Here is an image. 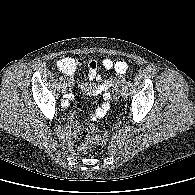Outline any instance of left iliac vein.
<instances>
[{"mask_svg": "<svg viewBox=\"0 0 195 195\" xmlns=\"http://www.w3.org/2000/svg\"><path fill=\"white\" fill-rule=\"evenodd\" d=\"M121 92H122V96L126 97L128 95V86L127 85H123Z\"/></svg>", "mask_w": 195, "mask_h": 195, "instance_id": "obj_1", "label": "left iliac vein"}]
</instances>
